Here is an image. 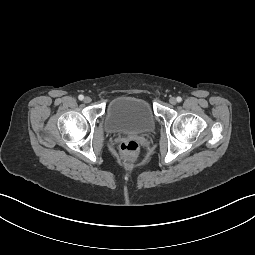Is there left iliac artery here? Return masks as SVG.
Wrapping results in <instances>:
<instances>
[{
    "instance_id": "left-iliac-artery-1",
    "label": "left iliac artery",
    "mask_w": 255,
    "mask_h": 255,
    "mask_svg": "<svg viewBox=\"0 0 255 255\" xmlns=\"http://www.w3.org/2000/svg\"><path fill=\"white\" fill-rule=\"evenodd\" d=\"M176 100H177V102H181V101H182V98H181L180 96H178V97L176 98Z\"/></svg>"
}]
</instances>
